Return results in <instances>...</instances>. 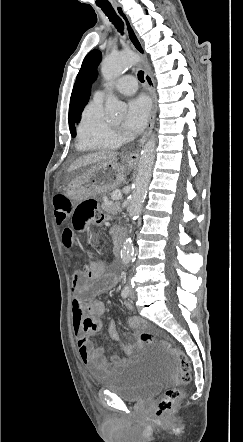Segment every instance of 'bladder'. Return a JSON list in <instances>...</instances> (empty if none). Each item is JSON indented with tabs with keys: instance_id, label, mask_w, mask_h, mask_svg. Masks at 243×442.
Masks as SVG:
<instances>
[{
	"instance_id": "obj_1",
	"label": "bladder",
	"mask_w": 243,
	"mask_h": 442,
	"mask_svg": "<svg viewBox=\"0 0 243 442\" xmlns=\"http://www.w3.org/2000/svg\"><path fill=\"white\" fill-rule=\"evenodd\" d=\"M177 363L164 354L135 359L126 367L97 379V385L125 401L138 402L154 396L164 384L175 379Z\"/></svg>"
}]
</instances>
